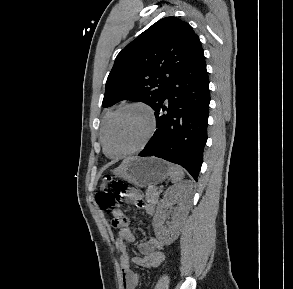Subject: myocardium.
<instances>
[{"label":"myocardium","mask_w":293,"mask_h":289,"mask_svg":"<svg viewBox=\"0 0 293 289\" xmlns=\"http://www.w3.org/2000/svg\"><path fill=\"white\" fill-rule=\"evenodd\" d=\"M129 108H140L146 112L148 120H149L148 131H147L144 139L142 140V142L138 146H136L135 148H133L129 151L120 153V154H111L108 151V145H107L108 130H109L111 124L113 123L114 119L121 112H123L124 110L129 109ZM156 129H157V118H156L154 110L148 104L143 103V102H139V101L124 104L112 113V115L109 117V119L107 120V122L105 124V128H104L103 135H102L103 151L107 157L112 158V159H120V158L130 156L132 154H135L146 147V145L150 142V140L154 136Z\"/></svg>","instance_id":"myocardium-1"}]
</instances>
